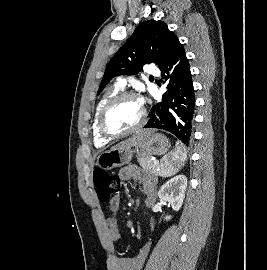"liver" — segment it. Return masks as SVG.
<instances>
[{
  "label": "liver",
  "instance_id": "obj_1",
  "mask_svg": "<svg viewBox=\"0 0 267 270\" xmlns=\"http://www.w3.org/2000/svg\"><path fill=\"white\" fill-rule=\"evenodd\" d=\"M153 133H154V131L150 130V129L140 130V131L136 132L130 138H128L124 141H121L120 143H118L117 145L112 147L111 149L122 148V147H134V146L140 144L141 142H143L146 138H148Z\"/></svg>",
  "mask_w": 267,
  "mask_h": 270
}]
</instances>
